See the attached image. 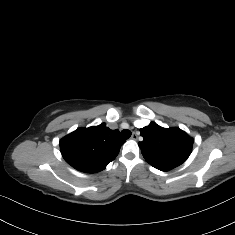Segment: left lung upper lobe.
Segmentation results:
<instances>
[{"instance_id":"1","label":"left lung upper lobe","mask_w":235,"mask_h":235,"mask_svg":"<svg viewBox=\"0 0 235 235\" xmlns=\"http://www.w3.org/2000/svg\"><path fill=\"white\" fill-rule=\"evenodd\" d=\"M143 141L138 145L145 160L157 169H173L189 157L193 139L177 127L163 128L155 122L140 129Z\"/></svg>"}]
</instances>
